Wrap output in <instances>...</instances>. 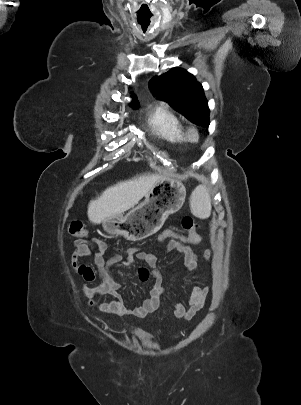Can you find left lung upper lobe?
I'll return each instance as SVG.
<instances>
[{"label":"left lung upper lobe","instance_id":"left-lung-upper-lobe-1","mask_svg":"<svg viewBox=\"0 0 301 405\" xmlns=\"http://www.w3.org/2000/svg\"><path fill=\"white\" fill-rule=\"evenodd\" d=\"M149 88L154 96L168 102L191 122L203 127L209 126L208 101L202 85L192 74L175 68L161 76L153 77Z\"/></svg>","mask_w":301,"mask_h":405}]
</instances>
